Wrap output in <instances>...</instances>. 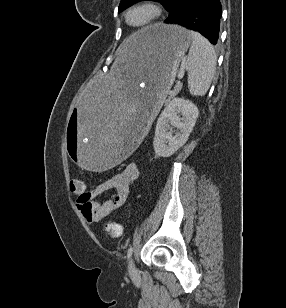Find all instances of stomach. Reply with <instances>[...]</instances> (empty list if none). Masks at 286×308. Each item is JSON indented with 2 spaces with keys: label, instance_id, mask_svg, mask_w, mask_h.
Returning <instances> with one entry per match:
<instances>
[{
  "label": "stomach",
  "instance_id": "stomach-1",
  "mask_svg": "<svg viewBox=\"0 0 286 308\" xmlns=\"http://www.w3.org/2000/svg\"><path fill=\"white\" fill-rule=\"evenodd\" d=\"M128 36L116 51L107 81H95L70 112L65 149L75 168H118L143 144L155 107H162L182 56L192 43L178 25L157 23Z\"/></svg>",
  "mask_w": 286,
  "mask_h": 308
}]
</instances>
